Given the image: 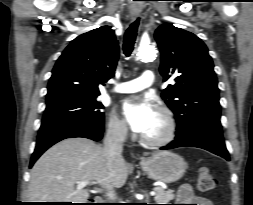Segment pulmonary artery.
Returning <instances> with one entry per match:
<instances>
[{"label":"pulmonary artery","instance_id":"obj_1","mask_svg":"<svg viewBox=\"0 0 253 205\" xmlns=\"http://www.w3.org/2000/svg\"><path fill=\"white\" fill-rule=\"evenodd\" d=\"M155 81V75L151 70H146L136 79L122 82L116 85L114 92L133 93L151 86Z\"/></svg>","mask_w":253,"mask_h":205}]
</instances>
